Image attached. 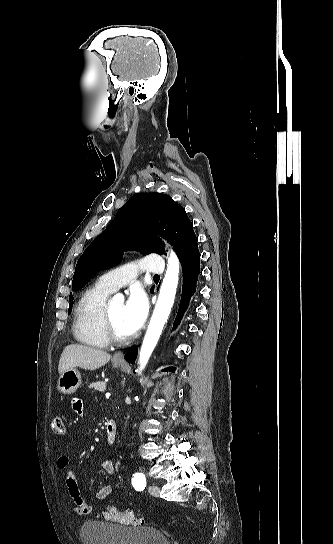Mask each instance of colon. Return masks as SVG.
<instances>
[{
    "mask_svg": "<svg viewBox=\"0 0 333 544\" xmlns=\"http://www.w3.org/2000/svg\"><path fill=\"white\" fill-rule=\"evenodd\" d=\"M51 429L57 435H65L67 430L61 417H54L51 421ZM105 520L118 522L125 525L136 526L143 523L142 519L131 511L117 510L113 506H108L101 514Z\"/></svg>",
    "mask_w": 333,
    "mask_h": 544,
    "instance_id": "5ec220e1",
    "label": "colon"
}]
</instances>
